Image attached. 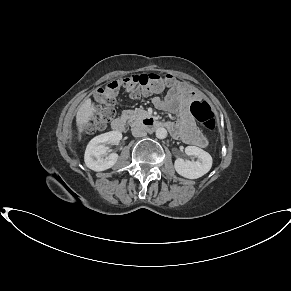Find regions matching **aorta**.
<instances>
[{
    "mask_svg": "<svg viewBox=\"0 0 291 291\" xmlns=\"http://www.w3.org/2000/svg\"><path fill=\"white\" fill-rule=\"evenodd\" d=\"M156 137L159 138V139H164L167 137V130L165 128H158L156 130Z\"/></svg>",
    "mask_w": 291,
    "mask_h": 291,
    "instance_id": "aorta-1",
    "label": "aorta"
}]
</instances>
